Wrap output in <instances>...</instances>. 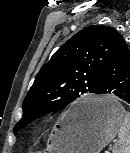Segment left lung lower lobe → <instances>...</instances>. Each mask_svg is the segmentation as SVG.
I'll return each instance as SVG.
<instances>
[{
    "label": "left lung lower lobe",
    "mask_w": 130,
    "mask_h": 153,
    "mask_svg": "<svg viewBox=\"0 0 130 153\" xmlns=\"http://www.w3.org/2000/svg\"><path fill=\"white\" fill-rule=\"evenodd\" d=\"M97 94H114L130 103V49L124 39L121 40L104 68ZM89 114L90 110L87 108L75 111L77 118Z\"/></svg>",
    "instance_id": "1"
}]
</instances>
